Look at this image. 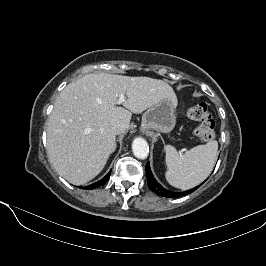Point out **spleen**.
Here are the masks:
<instances>
[{
	"label": "spleen",
	"mask_w": 266,
	"mask_h": 266,
	"mask_svg": "<svg viewBox=\"0 0 266 266\" xmlns=\"http://www.w3.org/2000/svg\"><path fill=\"white\" fill-rule=\"evenodd\" d=\"M168 183L186 190L204 181L211 173L218 152V142L209 141L205 145L193 147L184 154L171 145L164 147Z\"/></svg>",
	"instance_id": "spleen-1"
}]
</instances>
